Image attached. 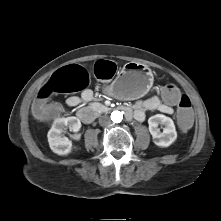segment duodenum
<instances>
[{"label": "duodenum", "mask_w": 221, "mask_h": 221, "mask_svg": "<svg viewBox=\"0 0 221 221\" xmlns=\"http://www.w3.org/2000/svg\"><path fill=\"white\" fill-rule=\"evenodd\" d=\"M118 109L121 110L122 112H124L128 119L132 118L133 113H132L131 108H129L127 106H120V107H118ZM77 117L81 122H83L85 124H89V123L93 122V120L95 118V114L91 108L84 107V108H81L77 112Z\"/></svg>", "instance_id": "obj_1"}]
</instances>
